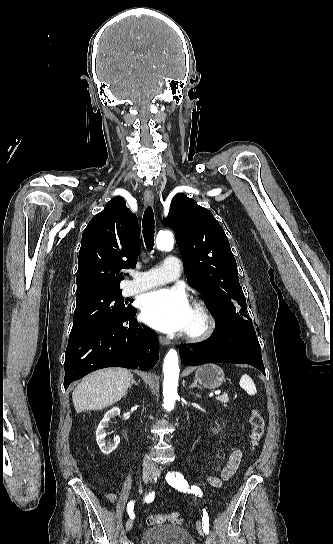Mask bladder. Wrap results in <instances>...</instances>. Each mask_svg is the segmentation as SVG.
<instances>
[{
    "label": "bladder",
    "mask_w": 333,
    "mask_h": 544,
    "mask_svg": "<svg viewBox=\"0 0 333 544\" xmlns=\"http://www.w3.org/2000/svg\"><path fill=\"white\" fill-rule=\"evenodd\" d=\"M139 544H194L191 534L183 527L162 525L146 529Z\"/></svg>",
    "instance_id": "bladder-1"
}]
</instances>
